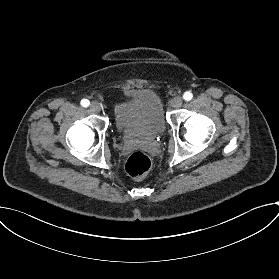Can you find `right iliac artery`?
I'll list each match as a JSON object with an SVG mask.
<instances>
[{
	"label": "right iliac artery",
	"mask_w": 279,
	"mask_h": 279,
	"mask_svg": "<svg viewBox=\"0 0 279 279\" xmlns=\"http://www.w3.org/2000/svg\"><path fill=\"white\" fill-rule=\"evenodd\" d=\"M81 105L83 107H88L90 105V102L87 99H83V100H81Z\"/></svg>",
	"instance_id": "obj_1"
}]
</instances>
